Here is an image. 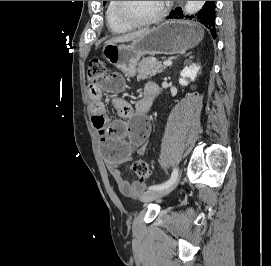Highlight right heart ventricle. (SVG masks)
Here are the masks:
<instances>
[{
    "label": "right heart ventricle",
    "instance_id": "obj_1",
    "mask_svg": "<svg viewBox=\"0 0 271 266\" xmlns=\"http://www.w3.org/2000/svg\"><path fill=\"white\" fill-rule=\"evenodd\" d=\"M115 4L116 1H108L106 10H105V18L109 29L116 34H122L130 31L132 29L131 26L123 23L116 15L115 12Z\"/></svg>",
    "mask_w": 271,
    "mask_h": 266
}]
</instances>
